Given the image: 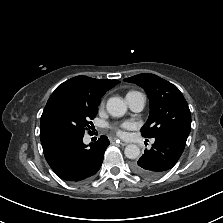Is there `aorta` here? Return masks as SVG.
<instances>
[{"label":"aorta","instance_id":"aorta-1","mask_svg":"<svg viewBox=\"0 0 223 223\" xmlns=\"http://www.w3.org/2000/svg\"><path fill=\"white\" fill-rule=\"evenodd\" d=\"M106 108L114 117H121L127 112V105L120 97L109 98ZM124 154L128 159H136L140 155V148L135 144H129L125 147Z\"/></svg>","mask_w":223,"mask_h":223}]
</instances>
